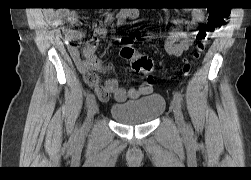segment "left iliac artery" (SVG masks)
<instances>
[{
    "mask_svg": "<svg viewBox=\"0 0 251 180\" xmlns=\"http://www.w3.org/2000/svg\"><path fill=\"white\" fill-rule=\"evenodd\" d=\"M174 99L179 103L182 104L183 102V96L180 92L176 91L174 92Z\"/></svg>",
    "mask_w": 251,
    "mask_h": 180,
    "instance_id": "44dca946",
    "label": "left iliac artery"
}]
</instances>
